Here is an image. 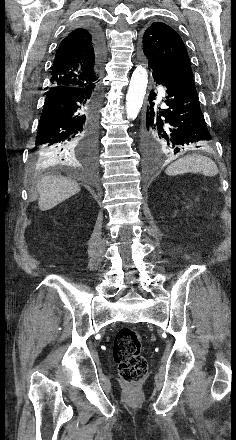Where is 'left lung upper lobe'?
I'll return each instance as SVG.
<instances>
[{"label": "left lung upper lobe", "instance_id": "1", "mask_svg": "<svg viewBox=\"0 0 236 440\" xmlns=\"http://www.w3.org/2000/svg\"><path fill=\"white\" fill-rule=\"evenodd\" d=\"M143 56L149 66L191 70L189 56L179 34L167 24L152 23L144 32Z\"/></svg>", "mask_w": 236, "mask_h": 440}]
</instances>
